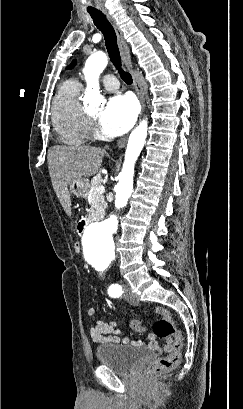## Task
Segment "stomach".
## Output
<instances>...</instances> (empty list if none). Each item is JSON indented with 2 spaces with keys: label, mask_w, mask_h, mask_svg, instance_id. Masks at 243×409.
<instances>
[{
  "label": "stomach",
  "mask_w": 243,
  "mask_h": 409,
  "mask_svg": "<svg viewBox=\"0 0 243 409\" xmlns=\"http://www.w3.org/2000/svg\"><path fill=\"white\" fill-rule=\"evenodd\" d=\"M71 192L77 197H85L87 195V182L85 180H73L69 183Z\"/></svg>",
  "instance_id": "1"
}]
</instances>
